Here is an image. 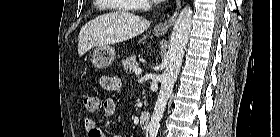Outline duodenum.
I'll return each instance as SVG.
<instances>
[{"label":"duodenum","instance_id":"obj_1","mask_svg":"<svg viewBox=\"0 0 280 137\" xmlns=\"http://www.w3.org/2000/svg\"><path fill=\"white\" fill-rule=\"evenodd\" d=\"M150 123V114L148 112H143L139 117V127L141 129H146Z\"/></svg>","mask_w":280,"mask_h":137}]
</instances>
